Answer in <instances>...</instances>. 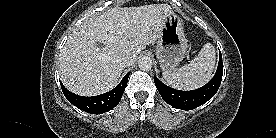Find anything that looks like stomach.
Returning a JSON list of instances; mask_svg holds the SVG:
<instances>
[{"label":"stomach","instance_id":"0dacf381","mask_svg":"<svg viewBox=\"0 0 276 138\" xmlns=\"http://www.w3.org/2000/svg\"><path fill=\"white\" fill-rule=\"evenodd\" d=\"M187 50L181 18L174 12L167 13L165 24L157 40L156 57L163 71L174 70L183 60Z\"/></svg>","mask_w":276,"mask_h":138}]
</instances>
